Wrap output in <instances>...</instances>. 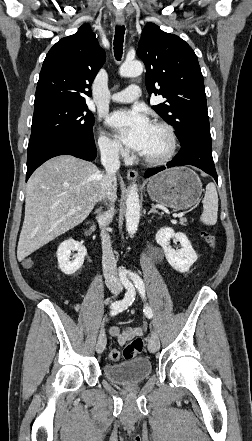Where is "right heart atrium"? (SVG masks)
I'll return each instance as SVG.
<instances>
[{"label": "right heart atrium", "instance_id": "obj_1", "mask_svg": "<svg viewBox=\"0 0 252 441\" xmlns=\"http://www.w3.org/2000/svg\"><path fill=\"white\" fill-rule=\"evenodd\" d=\"M97 144L100 151L107 157L120 159L127 156V151L123 146L103 128H100L98 131Z\"/></svg>", "mask_w": 252, "mask_h": 441}]
</instances>
